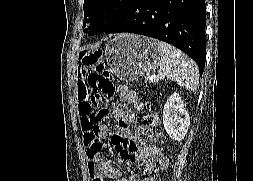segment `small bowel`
<instances>
[{
    "label": "small bowel",
    "instance_id": "c3829d8e",
    "mask_svg": "<svg viewBox=\"0 0 253 181\" xmlns=\"http://www.w3.org/2000/svg\"><path fill=\"white\" fill-rule=\"evenodd\" d=\"M77 98L78 113L82 117L86 114L85 98L87 96L86 76L87 70L79 67L77 72ZM119 103L132 104L136 109L143 108L142 102L137 98V94L126 87L119 88ZM111 116L115 122L113 128L112 148L114 152L120 155L129 163H142L143 176L133 174L129 179L124 178L122 171L110 160H94L89 155L88 149V171L94 181H104L107 177L114 181H148L147 177L156 171L157 166L165 168L168 159L164 151L157 145L149 129L141 127L137 136L130 134V125L133 121V115L125 112L121 107L114 106L111 109ZM104 132L110 133L111 128L106 126Z\"/></svg>",
    "mask_w": 253,
    "mask_h": 181
}]
</instances>
